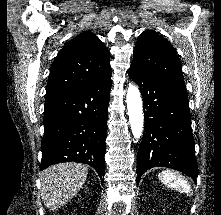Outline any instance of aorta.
I'll return each instance as SVG.
<instances>
[{
  "instance_id": "aorta-1",
  "label": "aorta",
  "mask_w": 221,
  "mask_h": 215,
  "mask_svg": "<svg viewBox=\"0 0 221 215\" xmlns=\"http://www.w3.org/2000/svg\"><path fill=\"white\" fill-rule=\"evenodd\" d=\"M126 103L132 134L139 139L143 132L144 115L140 91L133 83L129 84Z\"/></svg>"
}]
</instances>
